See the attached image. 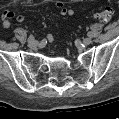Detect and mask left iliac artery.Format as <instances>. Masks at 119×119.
Segmentation results:
<instances>
[{"instance_id":"1","label":"left iliac artery","mask_w":119,"mask_h":119,"mask_svg":"<svg viewBox=\"0 0 119 119\" xmlns=\"http://www.w3.org/2000/svg\"><path fill=\"white\" fill-rule=\"evenodd\" d=\"M88 36H89V37H91V36H92V33H91V32H89V33H88Z\"/></svg>"}]
</instances>
